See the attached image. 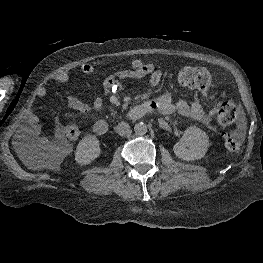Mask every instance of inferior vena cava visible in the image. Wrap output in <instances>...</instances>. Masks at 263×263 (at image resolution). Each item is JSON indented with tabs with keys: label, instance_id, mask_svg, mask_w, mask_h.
Listing matches in <instances>:
<instances>
[{
	"label": "inferior vena cava",
	"instance_id": "inferior-vena-cava-1",
	"mask_svg": "<svg viewBox=\"0 0 263 263\" xmlns=\"http://www.w3.org/2000/svg\"><path fill=\"white\" fill-rule=\"evenodd\" d=\"M115 129L120 136H124L130 132V126L126 122H120Z\"/></svg>",
	"mask_w": 263,
	"mask_h": 263
}]
</instances>
